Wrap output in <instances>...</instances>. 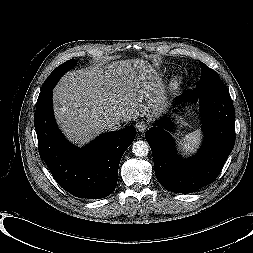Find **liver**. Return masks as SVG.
Returning <instances> with one entry per match:
<instances>
[{
    "label": "liver",
    "mask_w": 253,
    "mask_h": 253,
    "mask_svg": "<svg viewBox=\"0 0 253 253\" xmlns=\"http://www.w3.org/2000/svg\"><path fill=\"white\" fill-rule=\"evenodd\" d=\"M158 74L140 59L121 60L104 69L71 71L54 89L55 117L66 136L80 146L107 131L108 119H136L158 104L167 105ZM154 114H158L153 111Z\"/></svg>",
    "instance_id": "liver-1"
}]
</instances>
